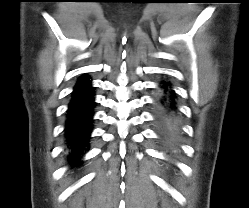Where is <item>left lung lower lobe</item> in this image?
I'll use <instances>...</instances> for the list:
<instances>
[{"label":"left lung lower lobe","mask_w":249,"mask_h":208,"mask_svg":"<svg viewBox=\"0 0 249 208\" xmlns=\"http://www.w3.org/2000/svg\"><path fill=\"white\" fill-rule=\"evenodd\" d=\"M155 122L163 143L170 150H176L180 134L178 108L174 91L167 82L162 83L161 92L156 99Z\"/></svg>","instance_id":"1"}]
</instances>
